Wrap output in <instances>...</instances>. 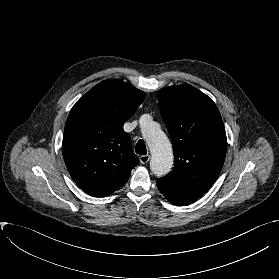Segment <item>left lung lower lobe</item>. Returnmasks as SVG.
I'll return each mask as SVG.
<instances>
[{
	"label": "left lung lower lobe",
	"instance_id": "0a47b994",
	"mask_svg": "<svg viewBox=\"0 0 279 279\" xmlns=\"http://www.w3.org/2000/svg\"><path fill=\"white\" fill-rule=\"evenodd\" d=\"M160 192L172 203L178 206L190 204L198 199L196 196L188 195L157 181Z\"/></svg>",
	"mask_w": 279,
	"mask_h": 279
}]
</instances>
